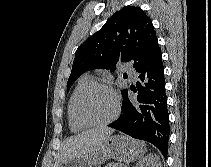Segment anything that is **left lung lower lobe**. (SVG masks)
<instances>
[{
    "instance_id": "obj_1",
    "label": "left lung lower lobe",
    "mask_w": 211,
    "mask_h": 167,
    "mask_svg": "<svg viewBox=\"0 0 211 167\" xmlns=\"http://www.w3.org/2000/svg\"><path fill=\"white\" fill-rule=\"evenodd\" d=\"M135 70L138 81L131 90L136 96H129L127 90L123 92V114L108 126L152 143L166 157L170 125L160 47Z\"/></svg>"
}]
</instances>
